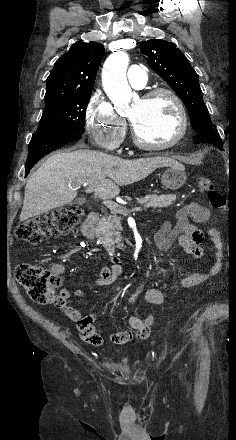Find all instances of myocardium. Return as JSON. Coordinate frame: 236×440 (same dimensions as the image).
Returning a JSON list of instances; mask_svg holds the SVG:
<instances>
[{
    "label": "myocardium",
    "instance_id": "f54148a6",
    "mask_svg": "<svg viewBox=\"0 0 236 440\" xmlns=\"http://www.w3.org/2000/svg\"><path fill=\"white\" fill-rule=\"evenodd\" d=\"M168 96L172 102L174 103L178 116H179V129L177 134L174 136L173 139H171L170 141L166 142V143H162V144H152V143H148L146 141H144L138 134L137 130L135 129V127L133 126L132 122H131V131H132V137L134 140V143L142 148V149H146V150H153V151H158V150H165L168 148H171L173 146H175L176 144H178L186 135L187 130H188V116H187V111L186 108L181 100V98L171 89L168 88H164V87H159V88H154L152 90H149L147 92H145L141 99L143 101H148L150 99H153L155 97L158 96Z\"/></svg>",
    "mask_w": 236,
    "mask_h": 440
}]
</instances>
